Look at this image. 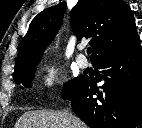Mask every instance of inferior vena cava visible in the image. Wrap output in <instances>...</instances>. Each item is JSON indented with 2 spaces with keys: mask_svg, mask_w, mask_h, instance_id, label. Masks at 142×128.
Wrapping results in <instances>:
<instances>
[{
  "mask_svg": "<svg viewBox=\"0 0 142 128\" xmlns=\"http://www.w3.org/2000/svg\"><path fill=\"white\" fill-rule=\"evenodd\" d=\"M66 114L68 115V116H70V117H72L73 115H72V113L71 112H69L68 110L66 111Z\"/></svg>",
  "mask_w": 142,
  "mask_h": 128,
  "instance_id": "obj_1",
  "label": "inferior vena cava"
}]
</instances>
